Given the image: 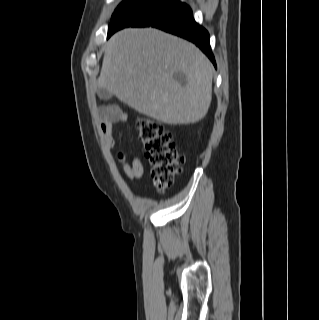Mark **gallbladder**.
I'll list each match as a JSON object with an SVG mask.
<instances>
[{
  "instance_id": "gallbladder-1",
  "label": "gallbladder",
  "mask_w": 319,
  "mask_h": 320,
  "mask_svg": "<svg viewBox=\"0 0 319 320\" xmlns=\"http://www.w3.org/2000/svg\"><path fill=\"white\" fill-rule=\"evenodd\" d=\"M97 93H98V96L103 100H108L112 97V93L105 88H98Z\"/></svg>"
}]
</instances>
